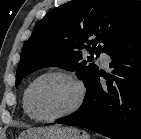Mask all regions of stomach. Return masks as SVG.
Segmentation results:
<instances>
[{
    "instance_id": "0dacf381",
    "label": "stomach",
    "mask_w": 141,
    "mask_h": 139,
    "mask_svg": "<svg viewBox=\"0 0 141 139\" xmlns=\"http://www.w3.org/2000/svg\"><path fill=\"white\" fill-rule=\"evenodd\" d=\"M18 139H90L89 135L75 127L49 126L28 130Z\"/></svg>"
}]
</instances>
